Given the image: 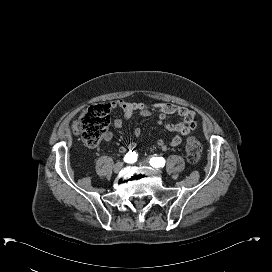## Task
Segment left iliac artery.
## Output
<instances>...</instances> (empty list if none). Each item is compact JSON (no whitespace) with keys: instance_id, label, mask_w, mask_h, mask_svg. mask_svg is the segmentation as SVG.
Returning a JSON list of instances; mask_svg holds the SVG:
<instances>
[{"instance_id":"44dca946","label":"left iliac artery","mask_w":272,"mask_h":272,"mask_svg":"<svg viewBox=\"0 0 272 272\" xmlns=\"http://www.w3.org/2000/svg\"><path fill=\"white\" fill-rule=\"evenodd\" d=\"M150 165L157 168V167H164L165 161L163 157H152L149 161Z\"/></svg>"}]
</instances>
